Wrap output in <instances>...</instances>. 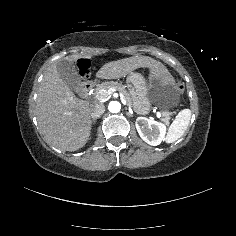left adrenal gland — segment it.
Here are the masks:
<instances>
[{
	"label": "left adrenal gland",
	"mask_w": 236,
	"mask_h": 236,
	"mask_svg": "<svg viewBox=\"0 0 236 236\" xmlns=\"http://www.w3.org/2000/svg\"><path fill=\"white\" fill-rule=\"evenodd\" d=\"M126 115L129 116V117H132L133 115L130 114L129 112H126Z\"/></svg>",
	"instance_id": "1"
}]
</instances>
